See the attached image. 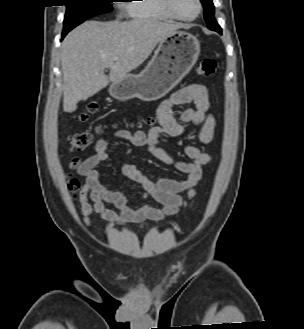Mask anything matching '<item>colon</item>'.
Here are the masks:
<instances>
[{
  "mask_svg": "<svg viewBox=\"0 0 304 329\" xmlns=\"http://www.w3.org/2000/svg\"><path fill=\"white\" fill-rule=\"evenodd\" d=\"M216 69V62L211 58H205L200 61L197 73L201 76H211ZM98 110V104L96 102L87 103L83 110L78 115L80 122H86L92 114ZM150 124L154 123L153 119H149ZM94 136L91 132L82 131L73 134L69 137L68 141L72 150L82 151L91 146L93 143ZM81 189V183L75 178H70L68 181V190L76 195Z\"/></svg>",
  "mask_w": 304,
  "mask_h": 329,
  "instance_id": "colon-1",
  "label": "colon"
}]
</instances>
